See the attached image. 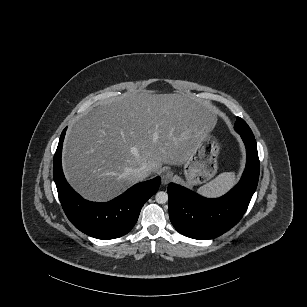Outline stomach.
Segmentation results:
<instances>
[{
  "mask_svg": "<svg viewBox=\"0 0 307 307\" xmlns=\"http://www.w3.org/2000/svg\"><path fill=\"white\" fill-rule=\"evenodd\" d=\"M220 144L212 135L201 137L185 161V176L190 186L201 184L217 172V157Z\"/></svg>",
  "mask_w": 307,
  "mask_h": 307,
  "instance_id": "stomach-1",
  "label": "stomach"
}]
</instances>
